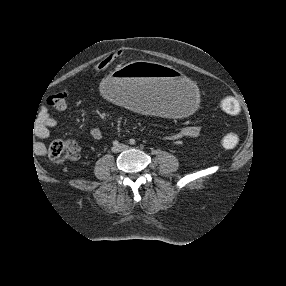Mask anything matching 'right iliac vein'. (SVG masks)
<instances>
[{
    "label": "right iliac vein",
    "mask_w": 286,
    "mask_h": 286,
    "mask_svg": "<svg viewBox=\"0 0 286 286\" xmlns=\"http://www.w3.org/2000/svg\"><path fill=\"white\" fill-rule=\"evenodd\" d=\"M112 151H113L114 153H118V152H120V149H119V147L114 146V147L112 148Z\"/></svg>",
    "instance_id": "63e3f726"
}]
</instances>
